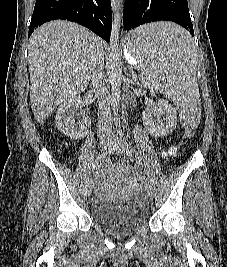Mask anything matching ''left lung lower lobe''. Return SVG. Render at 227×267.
I'll list each match as a JSON object with an SVG mask.
<instances>
[{
  "instance_id": "0a47b994",
  "label": "left lung lower lobe",
  "mask_w": 227,
  "mask_h": 267,
  "mask_svg": "<svg viewBox=\"0 0 227 267\" xmlns=\"http://www.w3.org/2000/svg\"><path fill=\"white\" fill-rule=\"evenodd\" d=\"M124 29L130 31L142 24L155 21H172L194 36L187 0H125ZM165 47H179L183 41L179 39H157ZM139 44L142 40H139Z\"/></svg>"
}]
</instances>
